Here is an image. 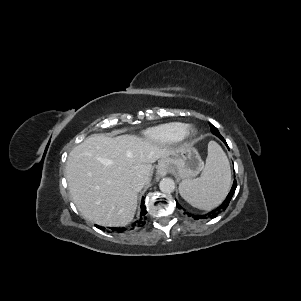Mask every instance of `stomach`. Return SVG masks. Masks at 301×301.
<instances>
[{
    "label": "stomach",
    "instance_id": "1",
    "mask_svg": "<svg viewBox=\"0 0 301 301\" xmlns=\"http://www.w3.org/2000/svg\"><path fill=\"white\" fill-rule=\"evenodd\" d=\"M160 165L182 179L197 176L203 168L202 159L197 150L190 145H183L171 152L169 156L160 160Z\"/></svg>",
    "mask_w": 301,
    "mask_h": 301
}]
</instances>
